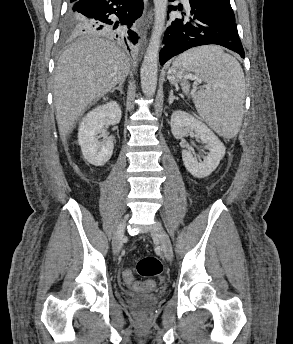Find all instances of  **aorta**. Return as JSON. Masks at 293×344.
Listing matches in <instances>:
<instances>
[{
	"mask_svg": "<svg viewBox=\"0 0 293 344\" xmlns=\"http://www.w3.org/2000/svg\"><path fill=\"white\" fill-rule=\"evenodd\" d=\"M167 5L168 0H154V27L140 69L141 88L146 96H152L156 91L159 50L165 27Z\"/></svg>",
	"mask_w": 293,
	"mask_h": 344,
	"instance_id": "762f6f07",
	"label": "aorta"
}]
</instances>
